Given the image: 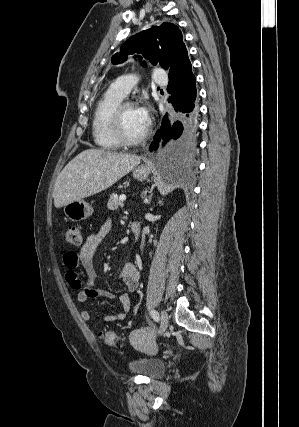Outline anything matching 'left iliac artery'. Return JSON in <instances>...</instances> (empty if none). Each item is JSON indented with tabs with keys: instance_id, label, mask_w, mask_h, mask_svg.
<instances>
[{
	"instance_id": "1",
	"label": "left iliac artery",
	"mask_w": 299,
	"mask_h": 427,
	"mask_svg": "<svg viewBox=\"0 0 299 427\" xmlns=\"http://www.w3.org/2000/svg\"><path fill=\"white\" fill-rule=\"evenodd\" d=\"M151 316L155 321H159V313L156 310H151Z\"/></svg>"
}]
</instances>
